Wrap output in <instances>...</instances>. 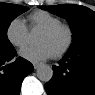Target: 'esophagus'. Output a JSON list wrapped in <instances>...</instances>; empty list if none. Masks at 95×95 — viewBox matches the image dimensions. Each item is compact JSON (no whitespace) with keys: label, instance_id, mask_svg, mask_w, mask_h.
I'll return each instance as SVG.
<instances>
[{"label":"esophagus","instance_id":"obj_1","mask_svg":"<svg viewBox=\"0 0 95 95\" xmlns=\"http://www.w3.org/2000/svg\"><path fill=\"white\" fill-rule=\"evenodd\" d=\"M39 65H40V64H39L38 62H34V63H33V66H34L35 69H37V68L39 67Z\"/></svg>","mask_w":95,"mask_h":95}]
</instances>
